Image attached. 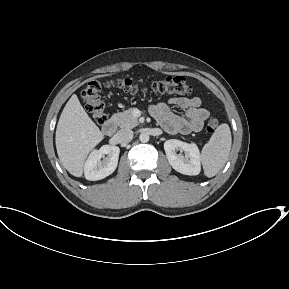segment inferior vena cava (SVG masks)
Returning <instances> with one entry per match:
<instances>
[{
  "label": "inferior vena cava",
  "mask_w": 289,
  "mask_h": 289,
  "mask_svg": "<svg viewBox=\"0 0 289 289\" xmlns=\"http://www.w3.org/2000/svg\"><path fill=\"white\" fill-rule=\"evenodd\" d=\"M116 138L120 143H127L133 139V131L130 129H121L116 133Z\"/></svg>",
  "instance_id": "obj_1"
}]
</instances>
